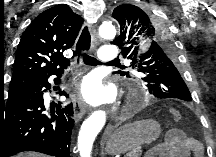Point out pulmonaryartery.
Returning <instances> with one entry per match:
<instances>
[{"label": "pulmonary artery", "mask_w": 216, "mask_h": 157, "mask_svg": "<svg viewBox=\"0 0 216 157\" xmlns=\"http://www.w3.org/2000/svg\"><path fill=\"white\" fill-rule=\"evenodd\" d=\"M118 55H119V51L114 45H105L100 49L98 53L99 59L105 62L116 59Z\"/></svg>", "instance_id": "obj_1"}]
</instances>
